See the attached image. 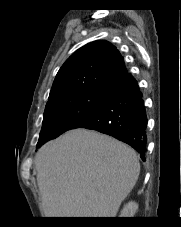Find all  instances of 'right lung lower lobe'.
<instances>
[{
  "label": "right lung lower lobe",
  "mask_w": 181,
  "mask_h": 227,
  "mask_svg": "<svg viewBox=\"0 0 181 227\" xmlns=\"http://www.w3.org/2000/svg\"><path fill=\"white\" fill-rule=\"evenodd\" d=\"M75 128L113 136L132 146L145 161L147 116L142 93L133 76L127 74L116 82L103 105Z\"/></svg>",
  "instance_id": "obj_1"
}]
</instances>
